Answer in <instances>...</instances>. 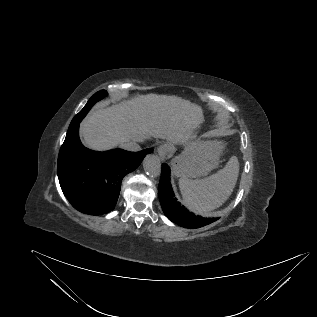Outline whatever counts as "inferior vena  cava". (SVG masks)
<instances>
[{
    "label": "inferior vena cava",
    "instance_id": "obj_1",
    "mask_svg": "<svg viewBox=\"0 0 317 317\" xmlns=\"http://www.w3.org/2000/svg\"><path fill=\"white\" fill-rule=\"evenodd\" d=\"M143 141V140H142ZM121 148L128 151H140L141 147L137 144V141H127L120 144Z\"/></svg>",
    "mask_w": 317,
    "mask_h": 317
}]
</instances>
